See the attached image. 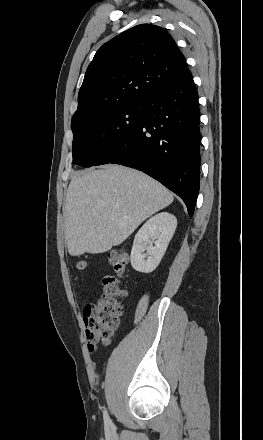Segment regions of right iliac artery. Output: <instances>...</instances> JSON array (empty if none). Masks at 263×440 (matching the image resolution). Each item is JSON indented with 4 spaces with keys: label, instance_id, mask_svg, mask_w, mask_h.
<instances>
[{
    "label": "right iliac artery",
    "instance_id": "82829eb1",
    "mask_svg": "<svg viewBox=\"0 0 263 440\" xmlns=\"http://www.w3.org/2000/svg\"><path fill=\"white\" fill-rule=\"evenodd\" d=\"M104 422L108 426L111 425V420H110L109 415L106 410L104 411Z\"/></svg>",
    "mask_w": 263,
    "mask_h": 440
}]
</instances>
